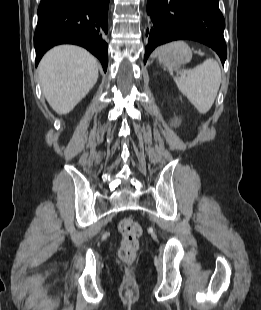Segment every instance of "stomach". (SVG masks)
<instances>
[{
  "label": "stomach",
  "mask_w": 261,
  "mask_h": 310,
  "mask_svg": "<svg viewBox=\"0 0 261 310\" xmlns=\"http://www.w3.org/2000/svg\"><path fill=\"white\" fill-rule=\"evenodd\" d=\"M156 55L160 64L174 68L188 63L192 58V50L184 42H174L160 48Z\"/></svg>",
  "instance_id": "obj_1"
}]
</instances>
